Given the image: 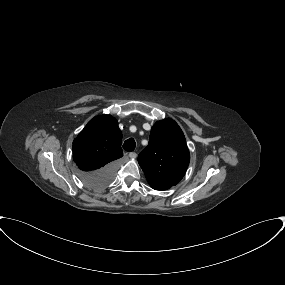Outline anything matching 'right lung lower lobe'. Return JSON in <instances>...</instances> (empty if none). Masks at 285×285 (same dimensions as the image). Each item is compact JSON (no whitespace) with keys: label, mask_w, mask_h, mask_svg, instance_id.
<instances>
[{"label":"right lung lower lobe","mask_w":285,"mask_h":285,"mask_svg":"<svg viewBox=\"0 0 285 285\" xmlns=\"http://www.w3.org/2000/svg\"><path fill=\"white\" fill-rule=\"evenodd\" d=\"M117 167V161L111 162L93 172H83L81 174L82 181L93 189H101L106 187L112 181Z\"/></svg>","instance_id":"1"}]
</instances>
